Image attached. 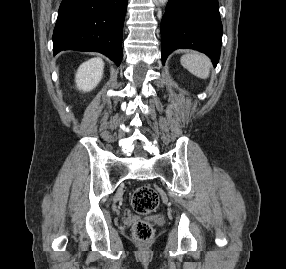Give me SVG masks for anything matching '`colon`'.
I'll use <instances>...</instances> for the list:
<instances>
[{
	"mask_svg": "<svg viewBox=\"0 0 286 269\" xmlns=\"http://www.w3.org/2000/svg\"><path fill=\"white\" fill-rule=\"evenodd\" d=\"M133 209L139 214H149L159 205V197L153 188L148 185L137 187L131 197ZM133 237L138 242H148L153 237V227L145 221H138L132 228Z\"/></svg>",
	"mask_w": 286,
	"mask_h": 269,
	"instance_id": "obj_1",
	"label": "colon"
}]
</instances>
